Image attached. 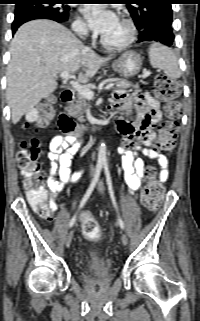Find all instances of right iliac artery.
I'll use <instances>...</instances> for the list:
<instances>
[{"instance_id":"right-iliac-artery-1","label":"right iliac artery","mask_w":200,"mask_h":321,"mask_svg":"<svg viewBox=\"0 0 200 321\" xmlns=\"http://www.w3.org/2000/svg\"><path fill=\"white\" fill-rule=\"evenodd\" d=\"M102 166H103V165H102L101 163H98V164L96 165V171H95V174H94V178H93V180H92L89 188L87 189L84 197L82 198L79 208H82V207L84 206V204L86 203V201L89 199L91 193L93 192V190H94V188H95V186H96V184H97V182H98V179H99V177H100L101 170H102ZM75 221H76V215H74V216L72 217V219L70 220V222H69V227H70V228L74 225Z\"/></svg>"}]
</instances>
